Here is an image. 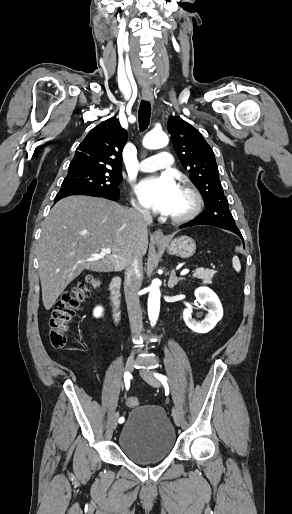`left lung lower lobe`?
<instances>
[{"label":"left lung lower lobe","instance_id":"0a47b994","mask_svg":"<svg viewBox=\"0 0 292 514\" xmlns=\"http://www.w3.org/2000/svg\"><path fill=\"white\" fill-rule=\"evenodd\" d=\"M194 225H212V226L220 227V228L229 230V231L237 234L244 241L239 229H231V228H227V227L213 224V223L201 222L197 217L195 219L191 220L190 222L181 225L179 228H185V227L194 226Z\"/></svg>","mask_w":292,"mask_h":514}]
</instances>
